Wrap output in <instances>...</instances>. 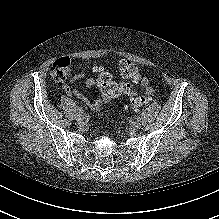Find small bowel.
<instances>
[{
    "mask_svg": "<svg viewBox=\"0 0 219 219\" xmlns=\"http://www.w3.org/2000/svg\"><path fill=\"white\" fill-rule=\"evenodd\" d=\"M96 69H101V68L99 66H94L93 69H92L93 72ZM84 76H85L84 72H79V73H77L76 75L73 76L71 82L82 79ZM71 82L67 83V84H63V86H62V89L64 90V92L66 94L77 97L82 102H84L85 104L90 106L92 109L98 110V109L101 108L102 101L100 99H91V98H88V97L84 96L79 91L72 88ZM135 83H140L142 86L147 87L148 84H149V80H148L147 77H141V75H140ZM95 84H96V79L95 78H93V77H87L86 78L85 85L87 87H93ZM150 90L153 91L152 88L148 87L146 91H150Z\"/></svg>",
    "mask_w": 219,
    "mask_h": 219,
    "instance_id": "1",
    "label": "small bowel"
}]
</instances>
